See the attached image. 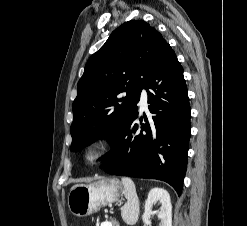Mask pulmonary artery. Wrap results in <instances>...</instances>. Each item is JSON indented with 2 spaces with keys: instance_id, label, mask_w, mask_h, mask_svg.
Returning <instances> with one entry per match:
<instances>
[{
  "instance_id": "e3ab8cb5",
  "label": "pulmonary artery",
  "mask_w": 247,
  "mask_h": 226,
  "mask_svg": "<svg viewBox=\"0 0 247 226\" xmlns=\"http://www.w3.org/2000/svg\"><path fill=\"white\" fill-rule=\"evenodd\" d=\"M140 105L142 109L147 108V92L145 89H143L141 92Z\"/></svg>"
}]
</instances>
